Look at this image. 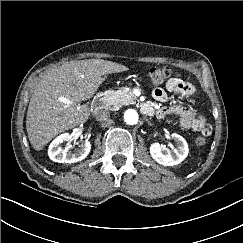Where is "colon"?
Returning a JSON list of instances; mask_svg holds the SVG:
<instances>
[{
    "mask_svg": "<svg viewBox=\"0 0 243 243\" xmlns=\"http://www.w3.org/2000/svg\"><path fill=\"white\" fill-rule=\"evenodd\" d=\"M172 74L169 67H154L149 71V80L152 84H161L168 79ZM196 144L203 146L206 144V138L199 136L196 138Z\"/></svg>",
    "mask_w": 243,
    "mask_h": 243,
    "instance_id": "colon-1",
    "label": "colon"
}]
</instances>
